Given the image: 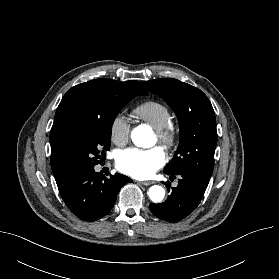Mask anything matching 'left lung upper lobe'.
I'll return each mask as SVG.
<instances>
[{
    "mask_svg": "<svg viewBox=\"0 0 279 279\" xmlns=\"http://www.w3.org/2000/svg\"><path fill=\"white\" fill-rule=\"evenodd\" d=\"M142 84L163 98L179 121V147L164 172L175 175L187 172L209 181L214 168L217 131L214 110L207 96L177 79L161 78Z\"/></svg>",
    "mask_w": 279,
    "mask_h": 279,
    "instance_id": "1",
    "label": "left lung upper lobe"
}]
</instances>
